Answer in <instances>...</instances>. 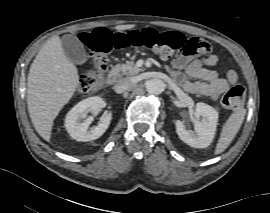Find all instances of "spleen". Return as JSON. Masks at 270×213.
<instances>
[{
    "mask_svg": "<svg viewBox=\"0 0 270 213\" xmlns=\"http://www.w3.org/2000/svg\"><path fill=\"white\" fill-rule=\"evenodd\" d=\"M245 113V110L241 109L229 116L223 125L221 135L215 149L216 155L225 151V149L232 142L244 121Z\"/></svg>",
    "mask_w": 270,
    "mask_h": 213,
    "instance_id": "spleen-1",
    "label": "spleen"
}]
</instances>
